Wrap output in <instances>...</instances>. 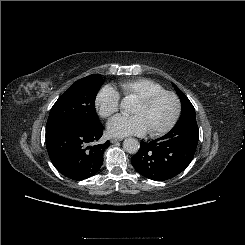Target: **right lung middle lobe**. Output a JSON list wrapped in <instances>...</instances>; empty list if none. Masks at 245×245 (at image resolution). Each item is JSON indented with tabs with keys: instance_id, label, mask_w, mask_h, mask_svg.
Returning <instances> with one entry per match:
<instances>
[{
	"instance_id": "right-lung-middle-lobe-1",
	"label": "right lung middle lobe",
	"mask_w": 245,
	"mask_h": 245,
	"mask_svg": "<svg viewBox=\"0 0 245 245\" xmlns=\"http://www.w3.org/2000/svg\"><path fill=\"white\" fill-rule=\"evenodd\" d=\"M103 83L100 75L92 74L72 84L51 108L47 127L63 123L87 128L102 126L95 111V98Z\"/></svg>"
}]
</instances>
